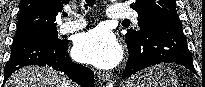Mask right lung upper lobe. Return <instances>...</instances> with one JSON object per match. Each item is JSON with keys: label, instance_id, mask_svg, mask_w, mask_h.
Masks as SVG:
<instances>
[{"label": "right lung upper lobe", "instance_id": "right-lung-upper-lobe-1", "mask_svg": "<svg viewBox=\"0 0 205 87\" xmlns=\"http://www.w3.org/2000/svg\"><path fill=\"white\" fill-rule=\"evenodd\" d=\"M70 0H21L16 33L56 28V16Z\"/></svg>", "mask_w": 205, "mask_h": 87}]
</instances>
